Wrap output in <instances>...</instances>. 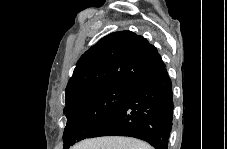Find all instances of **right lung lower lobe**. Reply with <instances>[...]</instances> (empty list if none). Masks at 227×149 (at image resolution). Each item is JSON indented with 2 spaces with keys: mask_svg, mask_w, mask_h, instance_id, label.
I'll return each mask as SVG.
<instances>
[{
  "mask_svg": "<svg viewBox=\"0 0 227 149\" xmlns=\"http://www.w3.org/2000/svg\"><path fill=\"white\" fill-rule=\"evenodd\" d=\"M173 109L172 82L164 67L136 84L126 101L87 138L129 136L167 149Z\"/></svg>",
  "mask_w": 227,
  "mask_h": 149,
  "instance_id": "1",
  "label": "right lung lower lobe"
}]
</instances>
